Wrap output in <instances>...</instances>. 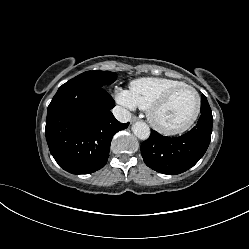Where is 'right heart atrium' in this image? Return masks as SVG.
<instances>
[{
    "instance_id": "obj_1",
    "label": "right heart atrium",
    "mask_w": 249,
    "mask_h": 249,
    "mask_svg": "<svg viewBox=\"0 0 249 249\" xmlns=\"http://www.w3.org/2000/svg\"><path fill=\"white\" fill-rule=\"evenodd\" d=\"M115 96H116L117 102L120 103L121 105L129 109H133L136 107L134 101L131 98L129 91L122 89V88H117Z\"/></svg>"
}]
</instances>
